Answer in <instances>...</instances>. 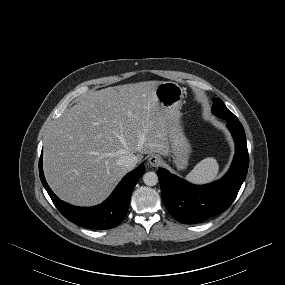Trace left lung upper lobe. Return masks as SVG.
<instances>
[{
    "mask_svg": "<svg viewBox=\"0 0 285 285\" xmlns=\"http://www.w3.org/2000/svg\"><path fill=\"white\" fill-rule=\"evenodd\" d=\"M212 112L222 119L239 121L238 118L226 108L222 100L213 99Z\"/></svg>",
    "mask_w": 285,
    "mask_h": 285,
    "instance_id": "obj_1",
    "label": "left lung upper lobe"
}]
</instances>
